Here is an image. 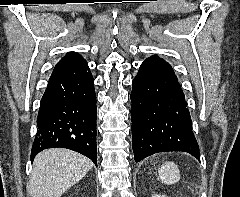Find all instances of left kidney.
<instances>
[{
  "label": "left kidney",
  "instance_id": "1",
  "mask_svg": "<svg viewBox=\"0 0 240 197\" xmlns=\"http://www.w3.org/2000/svg\"><path fill=\"white\" fill-rule=\"evenodd\" d=\"M152 197H168V196L155 194V195H153Z\"/></svg>",
  "mask_w": 240,
  "mask_h": 197
}]
</instances>
